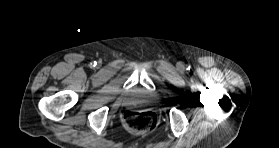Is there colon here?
Listing matches in <instances>:
<instances>
[{"label":"colon","instance_id":"5ec220e1","mask_svg":"<svg viewBox=\"0 0 279 148\" xmlns=\"http://www.w3.org/2000/svg\"><path fill=\"white\" fill-rule=\"evenodd\" d=\"M123 121L128 129L142 133L153 130L158 119L151 111H127L124 113Z\"/></svg>","mask_w":279,"mask_h":148}]
</instances>
